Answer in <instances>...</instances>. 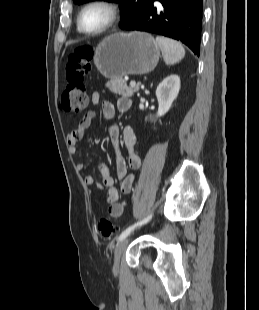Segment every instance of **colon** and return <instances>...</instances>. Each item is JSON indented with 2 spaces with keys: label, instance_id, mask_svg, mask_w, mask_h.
I'll return each mask as SVG.
<instances>
[{
  "label": "colon",
  "instance_id": "obj_1",
  "mask_svg": "<svg viewBox=\"0 0 259 310\" xmlns=\"http://www.w3.org/2000/svg\"><path fill=\"white\" fill-rule=\"evenodd\" d=\"M93 49L89 46L77 47L67 59L66 78L67 85L62 93L60 105L66 112L80 113L88 104V89L85 78L91 70ZM118 225L107 218H101L98 222V231L109 238L117 234Z\"/></svg>",
  "mask_w": 259,
  "mask_h": 310
}]
</instances>
